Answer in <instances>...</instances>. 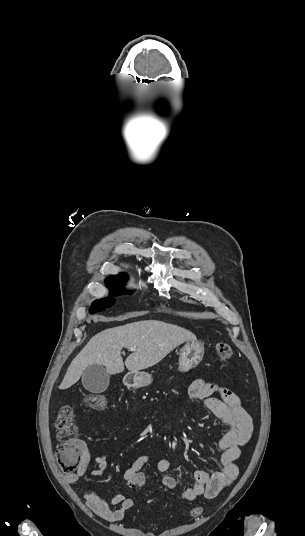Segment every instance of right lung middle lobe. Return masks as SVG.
Here are the masks:
<instances>
[{
	"label": "right lung middle lobe",
	"mask_w": 305,
	"mask_h": 536,
	"mask_svg": "<svg viewBox=\"0 0 305 536\" xmlns=\"http://www.w3.org/2000/svg\"><path fill=\"white\" fill-rule=\"evenodd\" d=\"M125 284V282H111L106 281L107 287H109L113 291V295H119L121 293H130V292H118V290H121L122 286ZM115 303V300L113 298H106L101 300H96L92 303V306L89 309L90 313H96L105 310L106 308H110Z\"/></svg>",
	"instance_id": "right-lung-middle-lobe-1"
}]
</instances>
